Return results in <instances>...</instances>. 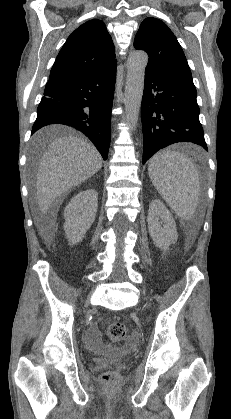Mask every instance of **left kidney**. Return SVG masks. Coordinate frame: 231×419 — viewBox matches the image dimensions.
I'll list each match as a JSON object with an SVG mask.
<instances>
[{
  "mask_svg": "<svg viewBox=\"0 0 231 419\" xmlns=\"http://www.w3.org/2000/svg\"><path fill=\"white\" fill-rule=\"evenodd\" d=\"M147 222L149 234L158 248L166 250L177 242L175 220L160 200L155 199L150 203Z\"/></svg>",
  "mask_w": 231,
  "mask_h": 419,
  "instance_id": "obj_1",
  "label": "left kidney"
}]
</instances>
